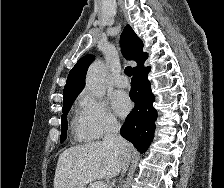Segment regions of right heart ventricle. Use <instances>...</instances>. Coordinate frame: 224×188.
Segmentation results:
<instances>
[{"mask_svg":"<svg viewBox=\"0 0 224 188\" xmlns=\"http://www.w3.org/2000/svg\"><path fill=\"white\" fill-rule=\"evenodd\" d=\"M72 127L74 129L75 135L79 140H88L90 137L83 129L80 119H74L72 122Z\"/></svg>","mask_w":224,"mask_h":188,"instance_id":"e07e8e85","label":"right heart ventricle"}]
</instances>
